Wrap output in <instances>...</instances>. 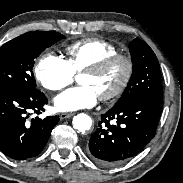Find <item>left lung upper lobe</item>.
Segmentation results:
<instances>
[{"instance_id": "left-lung-upper-lobe-1", "label": "left lung upper lobe", "mask_w": 183, "mask_h": 183, "mask_svg": "<svg viewBox=\"0 0 183 183\" xmlns=\"http://www.w3.org/2000/svg\"><path fill=\"white\" fill-rule=\"evenodd\" d=\"M133 73L121 98L113 107L138 98L162 99L159 63L152 49L136 38L129 44Z\"/></svg>"}]
</instances>
